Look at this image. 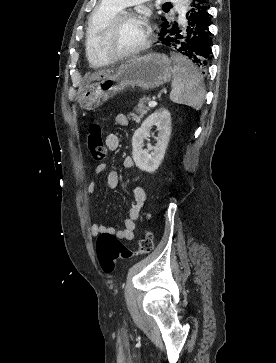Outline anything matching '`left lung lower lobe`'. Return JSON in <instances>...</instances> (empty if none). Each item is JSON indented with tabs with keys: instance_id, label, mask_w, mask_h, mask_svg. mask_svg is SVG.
<instances>
[{
	"instance_id": "0a47b994",
	"label": "left lung lower lobe",
	"mask_w": 276,
	"mask_h": 363,
	"mask_svg": "<svg viewBox=\"0 0 276 363\" xmlns=\"http://www.w3.org/2000/svg\"><path fill=\"white\" fill-rule=\"evenodd\" d=\"M207 0H188L185 23L162 26L158 43L172 48L199 67L207 68L210 53Z\"/></svg>"
}]
</instances>
